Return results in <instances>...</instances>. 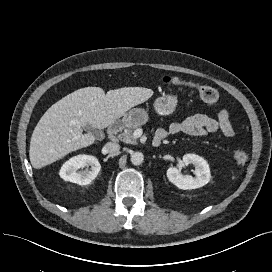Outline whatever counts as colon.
I'll use <instances>...</instances> for the list:
<instances>
[{
    "mask_svg": "<svg viewBox=\"0 0 272 272\" xmlns=\"http://www.w3.org/2000/svg\"><path fill=\"white\" fill-rule=\"evenodd\" d=\"M163 83L174 87L184 86L192 88L198 93L199 97L209 105H216L219 101L218 91L211 86L185 82L174 77H164ZM232 159L237 165L242 166L248 161V154L244 150H235L232 153Z\"/></svg>",
    "mask_w": 272,
    "mask_h": 272,
    "instance_id": "1",
    "label": "colon"
}]
</instances>
